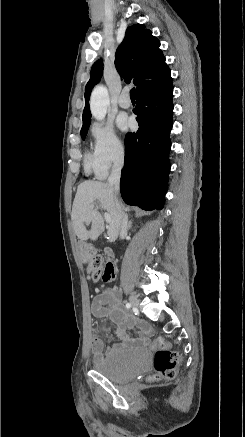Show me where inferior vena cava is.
<instances>
[{
	"label": "inferior vena cava",
	"mask_w": 245,
	"mask_h": 437,
	"mask_svg": "<svg viewBox=\"0 0 245 437\" xmlns=\"http://www.w3.org/2000/svg\"><path fill=\"white\" fill-rule=\"evenodd\" d=\"M123 163H124V152L120 151L114 161L111 174L108 178V184L112 187V190L114 192L115 205L119 212H120V207L117 201V195L119 193V188H120V177H121V170L123 167ZM126 230H127V222L125 219V215H122L121 222H120V233H124L126 232Z\"/></svg>",
	"instance_id": "obj_1"
}]
</instances>
